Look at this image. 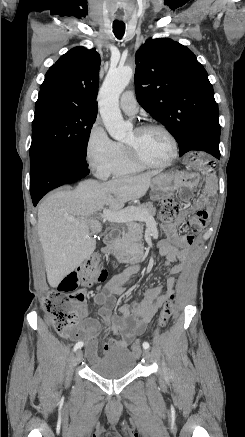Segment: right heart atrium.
<instances>
[{"mask_svg":"<svg viewBox=\"0 0 245 437\" xmlns=\"http://www.w3.org/2000/svg\"><path fill=\"white\" fill-rule=\"evenodd\" d=\"M117 156V143L107 134L104 126L96 120L86 138L85 159L88 166L100 177L110 175Z\"/></svg>","mask_w":245,"mask_h":437,"instance_id":"right-heart-atrium-1","label":"right heart atrium"}]
</instances>
